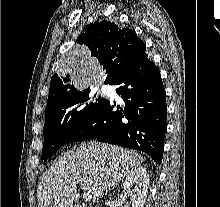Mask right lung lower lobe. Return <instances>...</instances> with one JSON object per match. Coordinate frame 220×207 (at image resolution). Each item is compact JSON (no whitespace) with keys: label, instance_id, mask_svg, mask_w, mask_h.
Masks as SVG:
<instances>
[{"label":"right lung lower lobe","instance_id":"obj_1","mask_svg":"<svg viewBox=\"0 0 220 207\" xmlns=\"http://www.w3.org/2000/svg\"><path fill=\"white\" fill-rule=\"evenodd\" d=\"M125 107L105 100L100 109L70 137L69 142L97 139L137 149L162 162L167 123L166 92L159 69L142 53L109 83Z\"/></svg>","mask_w":220,"mask_h":207}]
</instances>
